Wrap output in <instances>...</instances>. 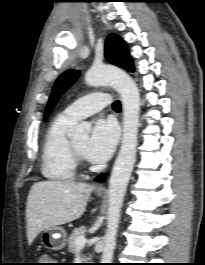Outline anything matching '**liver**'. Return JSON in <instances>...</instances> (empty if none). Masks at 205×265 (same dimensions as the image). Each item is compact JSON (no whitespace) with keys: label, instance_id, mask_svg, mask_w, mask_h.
Returning <instances> with one entry per match:
<instances>
[{"label":"liver","instance_id":"6515ba94","mask_svg":"<svg viewBox=\"0 0 205 265\" xmlns=\"http://www.w3.org/2000/svg\"><path fill=\"white\" fill-rule=\"evenodd\" d=\"M94 186L73 181H41L30 189L26 204L27 239L82 216Z\"/></svg>","mask_w":205,"mask_h":265}]
</instances>
